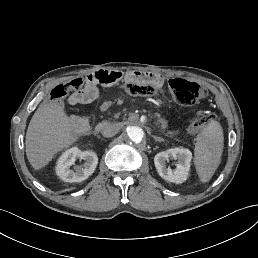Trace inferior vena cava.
Masks as SVG:
<instances>
[{"instance_id": "602c4592", "label": "inferior vena cava", "mask_w": 258, "mask_h": 258, "mask_svg": "<svg viewBox=\"0 0 258 258\" xmlns=\"http://www.w3.org/2000/svg\"><path fill=\"white\" fill-rule=\"evenodd\" d=\"M119 131L118 128H116V126L114 124H106L101 133L104 137H112L114 136L115 134H117Z\"/></svg>"}]
</instances>
